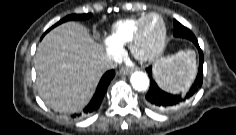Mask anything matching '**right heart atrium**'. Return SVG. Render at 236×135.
Wrapping results in <instances>:
<instances>
[{"label":"right heart atrium","instance_id":"1","mask_svg":"<svg viewBox=\"0 0 236 135\" xmlns=\"http://www.w3.org/2000/svg\"><path fill=\"white\" fill-rule=\"evenodd\" d=\"M102 44L106 49V52L108 54V57L112 60H116L120 58L121 56V50L120 48L116 47L114 44H112L108 38L102 39Z\"/></svg>","mask_w":236,"mask_h":135}]
</instances>
